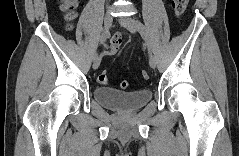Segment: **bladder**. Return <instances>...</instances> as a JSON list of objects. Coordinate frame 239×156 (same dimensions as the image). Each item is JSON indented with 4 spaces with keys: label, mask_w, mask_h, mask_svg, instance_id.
<instances>
[{
    "label": "bladder",
    "mask_w": 239,
    "mask_h": 156,
    "mask_svg": "<svg viewBox=\"0 0 239 156\" xmlns=\"http://www.w3.org/2000/svg\"><path fill=\"white\" fill-rule=\"evenodd\" d=\"M93 96L96 102L106 108L129 112L139 110L149 103L152 92L147 88L125 92L112 87H96Z\"/></svg>",
    "instance_id": "1"
}]
</instances>
